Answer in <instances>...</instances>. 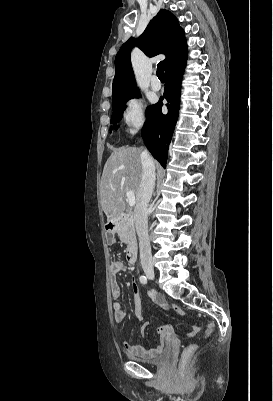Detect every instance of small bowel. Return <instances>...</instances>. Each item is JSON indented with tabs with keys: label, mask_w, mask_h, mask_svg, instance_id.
Masks as SVG:
<instances>
[{
	"label": "small bowel",
	"mask_w": 273,
	"mask_h": 401,
	"mask_svg": "<svg viewBox=\"0 0 273 401\" xmlns=\"http://www.w3.org/2000/svg\"><path fill=\"white\" fill-rule=\"evenodd\" d=\"M124 269H125V263L122 260H115L110 264V272H111L110 290H111V295L113 297L112 308H113V314H114V321L116 323H123L127 317L126 311L123 308L121 301L119 300L120 295H121V288H120V285H119V282L117 279V275L120 272H122ZM131 285H132V291H133L134 297L136 299L135 315L139 321H142L144 316L141 312L140 305L138 302L141 291H140L139 286L133 280L131 282ZM151 300L160 309L167 310L169 308V304L167 303L166 299L160 294H156V293L153 294ZM174 312L179 313V317L181 319H186L188 317V312L186 310H181L180 306H175ZM196 322H198V321H196ZM199 327H200V324L196 323L195 327L190 329V337L191 338L197 337V334L199 333ZM170 330L173 331V327L171 325H161V326L157 327V332L161 336L162 342L156 348L155 351L159 352V351L167 350L170 348L171 340L173 339V337L171 335H169ZM122 348L125 352L130 353V354H142V355H152L153 354L152 352L145 351L141 347L131 345L128 342H123Z\"/></svg>",
	"instance_id": "c3829d8e"
}]
</instances>
